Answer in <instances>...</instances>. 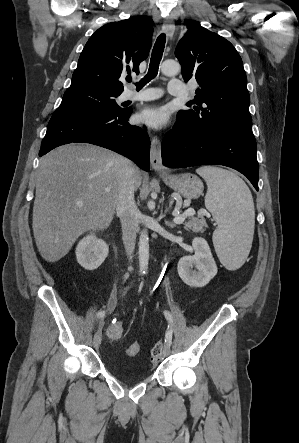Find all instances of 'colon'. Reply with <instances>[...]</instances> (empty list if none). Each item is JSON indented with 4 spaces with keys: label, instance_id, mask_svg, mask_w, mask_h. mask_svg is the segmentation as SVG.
I'll return each instance as SVG.
<instances>
[{
    "label": "colon",
    "instance_id": "obj_1",
    "mask_svg": "<svg viewBox=\"0 0 299 443\" xmlns=\"http://www.w3.org/2000/svg\"><path fill=\"white\" fill-rule=\"evenodd\" d=\"M124 333L123 323L119 320H114L107 328L106 335L110 340H119ZM140 343L134 341L130 343L126 348V354L128 356H136L140 352ZM163 357V345L162 342H157L151 349V360L157 364Z\"/></svg>",
    "mask_w": 299,
    "mask_h": 443
}]
</instances>
